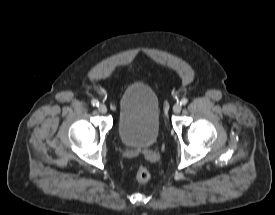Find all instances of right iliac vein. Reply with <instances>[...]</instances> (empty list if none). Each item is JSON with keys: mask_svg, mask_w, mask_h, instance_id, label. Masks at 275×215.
I'll list each match as a JSON object with an SVG mask.
<instances>
[{"mask_svg": "<svg viewBox=\"0 0 275 215\" xmlns=\"http://www.w3.org/2000/svg\"><path fill=\"white\" fill-rule=\"evenodd\" d=\"M98 110H99V112L105 114V113L107 112V107H106V105H104V104H100V105L98 106Z\"/></svg>", "mask_w": 275, "mask_h": 215, "instance_id": "obj_1", "label": "right iliac vein"}]
</instances>
